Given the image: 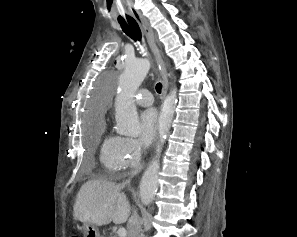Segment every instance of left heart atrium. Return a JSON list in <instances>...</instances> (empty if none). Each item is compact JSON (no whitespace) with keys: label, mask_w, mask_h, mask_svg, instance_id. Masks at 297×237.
Wrapping results in <instances>:
<instances>
[{"label":"left heart atrium","mask_w":297,"mask_h":237,"mask_svg":"<svg viewBox=\"0 0 297 237\" xmlns=\"http://www.w3.org/2000/svg\"><path fill=\"white\" fill-rule=\"evenodd\" d=\"M158 113L154 108L146 109L140 115V141L148 146L150 145L158 131Z\"/></svg>","instance_id":"obj_1"}]
</instances>
